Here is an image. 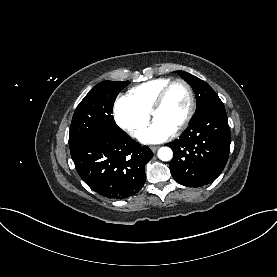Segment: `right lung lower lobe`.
<instances>
[{
	"mask_svg": "<svg viewBox=\"0 0 277 277\" xmlns=\"http://www.w3.org/2000/svg\"><path fill=\"white\" fill-rule=\"evenodd\" d=\"M79 176L111 199L137 193L145 184V165L153 154L129 135L98 133L70 148Z\"/></svg>",
	"mask_w": 277,
	"mask_h": 277,
	"instance_id": "1",
	"label": "right lung lower lobe"
}]
</instances>
